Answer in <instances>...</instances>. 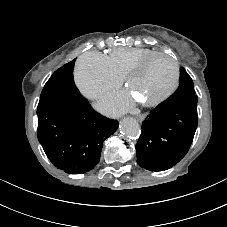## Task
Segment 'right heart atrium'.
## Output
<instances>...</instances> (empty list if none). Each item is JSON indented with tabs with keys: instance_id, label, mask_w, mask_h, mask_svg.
<instances>
[{
	"instance_id": "right-heart-atrium-1",
	"label": "right heart atrium",
	"mask_w": 227,
	"mask_h": 227,
	"mask_svg": "<svg viewBox=\"0 0 227 227\" xmlns=\"http://www.w3.org/2000/svg\"><path fill=\"white\" fill-rule=\"evenodd\" d=\"M74 79L82 94L90 99H97L122 83V77L113 70L107 56L97 51L80 56Z\"/></svg>"
}]
</instances>
